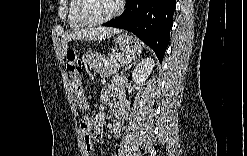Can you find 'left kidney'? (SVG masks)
Here are the masks:
<instances>
[{"instance_id": "5707ae66", "label": "left kidney", "mask_w": 247, "mask_h": 156, "mask_svg": "<svg viewBox=\"0 0 247 156\" xmlns=\"http://www.w3.org/2000/svg\"><path fill=\"white\" fill-rule=\"evenodd\" d=\"M155 66L154 59L151 57H147L142 59L140 63L135 67L132 72V79L138 85H143L147 80L149 75L151 74L153 68Z\"/></svg>"}]
</instances>
